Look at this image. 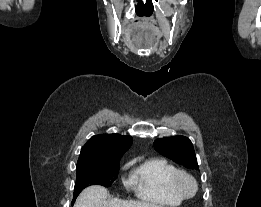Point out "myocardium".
I'll return each mask as SVG.
<instances>
[{
	"mask_svg": "<svg viewBox=\"0 0 261 207\" xmlns=\"http://www.w3.org/2000/svg\"><path fill=\"white\" fill-rule=\"evenodd\" d=\"M190 185V188L187 185ZM172 187L183 199L194 197L198 191L196 179L188 172L178 170L172 178Z\"/></svg>",
	"mask_w": 261,
	"mask_h": 207,
	"instance_id": "1",
	"label": "myocardium"
}]
</instances>
